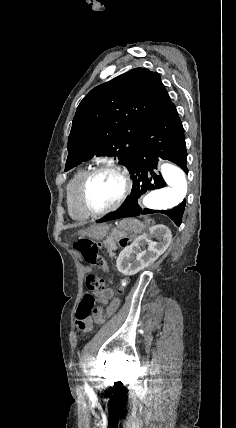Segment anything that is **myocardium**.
Here are the masks:
<instances>
[{
    "instance_id": "f54148a6",
    "label": "myocardium",
    "mask_w": 236,
    "mask_h": 428,
    "mask_svg": "<svg viewBox=\"0 0 236 428\" xmlns=\"http://www.w3.org/2000/svg\"><path fill=\"white\" fill-rule=\"evenodd\" d=\"M105 171H112V172L119 174L124 181L125 189H124L122 196L117 201V203H115L114 205L107 207L105 209L97 210V209H94L88 201L87 189H88V186H89V183L91 182V180L96 175H98L102 172H105ZM133 187H134V184H133L132 175H131L129 168L126 165L119 163V162H116V161H106V162L101 163V164L93 167L92 169H90L86 173L84 178L82 179L81 184H80V188H79L80 203H81V206L83 207V209L89 215H91V216H103V215H106L108 213H111V212L118 210L126 202V200L129 198V196L131 195V193L133 191Z\"/></svg>"
}]
</instances>
